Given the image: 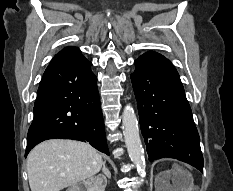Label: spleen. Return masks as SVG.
Wrapping results in <instances>:
<instances>
[{"label":"spleen","mask_w":233,"mask_h":191,"mask_svg":"<svg viewBox=\"0 0 233 191\" xmlns=\"http://www.w3.org/2000/svg\"><path fill=\"white\" fill-rule=\"evenodd\" d=\"M181 174L189 176L188 173L184 172V171H180Z\"/></svg>","instance_id":"obj_1"}]
</instances>
